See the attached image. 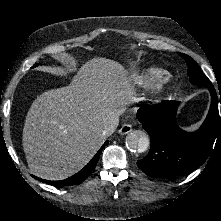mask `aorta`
<instances>
[{
  "instance_id": "aorta-1",
  "label": "aorta",
  "mask_w": 221,
  "mask_h": 221,
  "mask_svg": "<svg viewBox=\"0 0 221 221\" xmlns=\"http://www.w3.org/2000/svg\"><path fill=\"white\" fill-rule=\"evenodd\" d=\"M125 143L130 151L142 153L148 149L150 138L146 132L136 130L126 136Z\"/></svg>"
}]
</instances>
